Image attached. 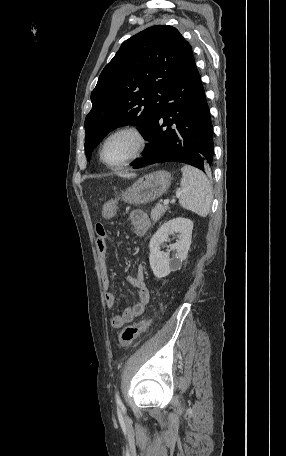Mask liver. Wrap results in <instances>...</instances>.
I'll return each mask as SVG.
<instances>
[{"instance_id":"liver-1","label":"liver","mask_w":286,"mask_h":456,"mask_svg":"<svg viewBox=\"0 0 286 456\" xmlns=\"http://www.w3.org/2000/svg\"><path fill=\"white\" fill-rule=\"evenodd\" d=\"M118 175L120 177H123V178H131V177H135L136 176V174H134V173H126V174L125 173H118Z\"/></svg>"}]
</instances>
